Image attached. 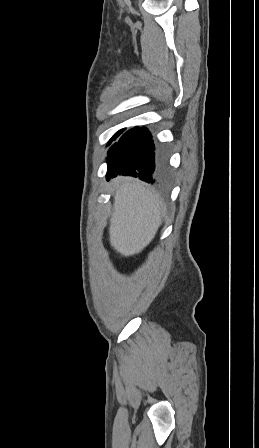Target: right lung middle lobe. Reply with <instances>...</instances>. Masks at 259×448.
<instances>
[{
    "label": "right lung middle lobe",
    "mask_w": 259,
    "mask_h": 448,
    "mask_svg": "<svg viewBox=\"0 0 259 448\" xmlns=\"http://www.w3.org/2000/svg\"><path fill=\"white\" fill-rule=\"evenodd\" d=\"M125 131V128L124 129H121V130H119L118 132H116L115 134H114V136L110 139V141L108 142V146L111 144V142L112 141H114V140H116L123 132Z\"/></svg>",
    "instance_id": "dd1d6c3e"
}]
</instances>
